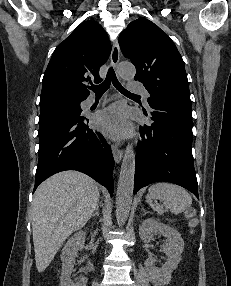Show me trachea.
Instances as JSON below:
<instances>
[{
    "instance_id": "1",
    "label": "trachea",
    "mask_w": 231,
    "mask_h": 286,
    "mask_svg": "<svg viewBox=\"0 0 231 286\" xmlns=\"http://www.w3.org/2000/svg\"><path fill=\"white\" fill-rule=\"evenodd\" d=\"M111 82L113 83L114 87L122 94L124 95H130V96H137L135 94L130 93L127 91L118 81L116 74L112 67L109 68L106 78L104 82H102L99 85H93L90 87V89L96 94V95H102L104 92L108 90L110 87Z\"/></svg>"
}]
</instances>
